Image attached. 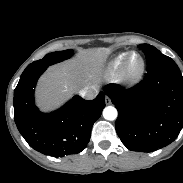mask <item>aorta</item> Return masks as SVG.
<instances>
[{
  "instance_id": "obj_1",
  "label": "aorta",
  "mask_w": 183,
  "mask_h": 183,
  "mask_svg": "<svg viewBox=\"0 0 183 183\" xmlns=\"http://www.w3.org/2000/svg\"><path fill=\"white\" fill-rule=\"evenodd\" d=\"M117 115H118V112L116 108L113 106L105 107L103 110V117L106 120L113 121L117 118Z\"/></svg>"
}]
</instances>
